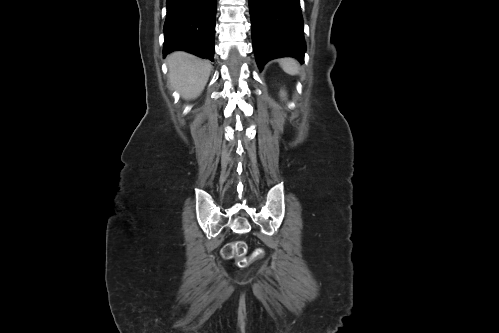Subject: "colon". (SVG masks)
<instances>
[{"instance_id": "obj_1", "label": "colon", "mask_w": 499, "mask_h": 333, "mask_svg": "<svg viewBox=\"0 0 499 333\" xmlns=\"http://www.w3.org/2000/svg\"><path fill=\"white\" fill-rule=\"evenodd\" d=\"M247 245L243 241H234L223 247L222 254L227 259H235L239 267H247L251 259L246 256Z\"/></svg>"}]
</instances>
